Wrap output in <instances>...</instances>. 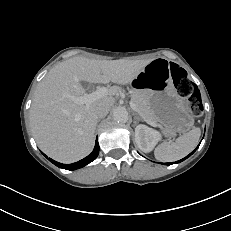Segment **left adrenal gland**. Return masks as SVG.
Masks as SVG:
<instances>
[{
  "label": "left adrenal gland",
  "instance_id": "a2214340",
  "mask_svg": "<svg viewBox=\"0 0 231 231\" xmlns=\"http://www.w3.org/2000/svg\"><path fill=\"white\" fill-rule=\"evenodd\" d=\"M137 121H142V119L135 113V121H134V123H136Z\"/></svg>",
  "mask_w": 231,
  "mask_h": 231
}]
</instances>
